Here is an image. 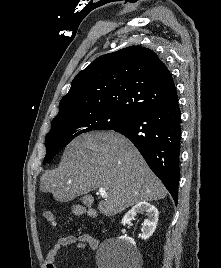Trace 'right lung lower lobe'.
<instances>
[{"instance_id":"98d812e1","label":"right lung lower lobe","mask_w":221,"mask_h":268,"mask_svg":"<svg viewBox=\"0 0 221 268\" xmlns=\"http://www.w3.org/2000/svg\"><path fill=\"white\" fill-rule=\"evenodd\" d=\"M181 112L178 99L145 110L114 131L126 136L178 201Z\"/></svg>"}]
</instances>
